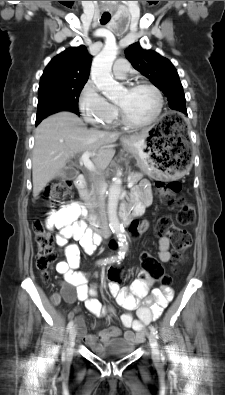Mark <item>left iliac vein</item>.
Masks as SVG:
<instances>
[{"label":"left iliac vein","mask_w":225,"mask_h":395,"mask_svg":"<svg viewBox=\"0 0 225 395\" xmlns=\"http://www.w3.org/2000/svg\"><path fill=\"white\" fill-rule=\"evenodd\" d=\"M150 346L152 348L153 358L159 360V349L155 335L151 332L148 334Z\"/></svg>","instance_id":"4c4485c4"}]
</instances>
